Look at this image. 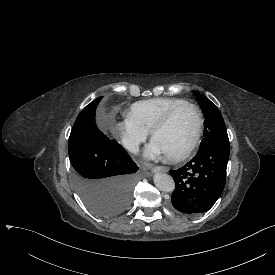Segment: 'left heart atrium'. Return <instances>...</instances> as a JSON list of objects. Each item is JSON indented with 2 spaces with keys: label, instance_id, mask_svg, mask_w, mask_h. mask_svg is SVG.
Here are the masks:
<instances>
[{
  "label": "left heart atrium",
  "instance_id": "1",
  "mask_svg": "<svg viewBox=\"0 0 275 275\" xmlns=\"http://www.w3.org/2000/svg\"><path fill=\"white\" fill-rule=\"evenodd\" d=\"M164 153L159 149L153 142L151 143L150 147L146 152V156L148 158H157L163 155Z\"/></svg>",
  "mask_w": 275,
  "mask_h": 275
}]
</instances>
